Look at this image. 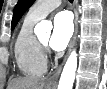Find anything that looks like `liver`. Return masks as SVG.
<instances>
[{"label":"liver","mask_w":107,"mask_h":89,"mask_svg":"<svg viewBox=\"0 0 107 89\" xmlns=\"http://www.w3.org/2000/svg\"><path fill=\"white\" fill-rule=\"evenodd\" d=\"M45 82L33 77H18L11 81L8 89H43Z\"/></svg>","instance_id":"6515ba94"}]
</instances>
